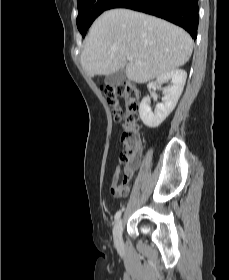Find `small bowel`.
<instances>
[{
  "label": "small bowel",
  "instance_id": "1",
  "mask_svg": "<svg viewBox=\"0 0 229 280\" xmlns=\"http://www.w3.org/2000/svg\"><path fill=\"white\" fill-rule=\"evenodd\" d=\"M137 164H138V161L136 159L130 166L126 167L125 170H126V179L127 180H129L131 178V174H132L134 168L137 166ZM119 174H120V169L116 168L115 171H114L113 179H112V185L117 183ZM128 191H126V192H114V194H115L116 198H123L128 194Z\"/></svg>",
  "mask_w": 229,
  "mask_h": 280
}]
</instances>
